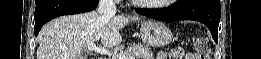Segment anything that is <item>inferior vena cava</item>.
Returning a JSON list of instances; mask_svg holds the SVG:
<instances>
[{
    "instance_id": "602c4592",
    "label": "inferior vena cava",
    "mask_w": 261,
    "mask_h": 59,
    "mask_svg": "<svg viewBox=\"0 0 261 59\" xmlns=\"http://www.w3.org/2000/svg\"><path fill=\"white\" fill-rule=\"evenodd\" d=\"M97 11L105 19H111L116 13L114 0H100Z\"/></svg>"
}]
</instances>
